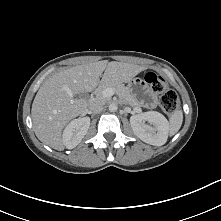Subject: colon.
<instances>
[{"label":"colon","instance_id":"5ec220e1","mask_svg":"<svg viewBox=\"0 0 221 221\" xmlns=\"http://www.w3.org/2000/svg\"><path fill=\"white\" fill-rule=\"evenodd\" d=\"M145 81L158 93V105L163 111L170 113L178 107L179 96L177 92L173 89H169L166 81L162 77L153 72H149L145 76Z\"/></svg>","mask_w":221,"mask_h":221}]
</instances>
